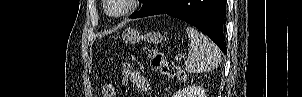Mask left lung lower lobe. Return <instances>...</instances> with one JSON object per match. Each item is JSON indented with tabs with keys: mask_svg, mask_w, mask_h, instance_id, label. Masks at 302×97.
Wrapping results in <instances>:
<instances>
[{
	"mask_svg": "<svg viewBox=\"0 0 302 97\" xmlns=\"http://www.w3.org/2000/svg\"><path fill=\"white\" fill-rule=\"evenodd\" d=\"M225 9L226 0H151L146 7L130 17L168 14L179 18L198 28L226 53L223 39Z\"/></svg>",
	"mask_w": 302,
	"mask_h": 97,
	"instance_id": "1",
	"label": "left lung lower lobe"
}]
</instances>
